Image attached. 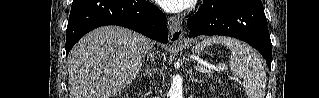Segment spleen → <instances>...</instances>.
<instances>
[{"instance_id": "spleen-1", "label": "spleen", "mask_w": 319, "mask_h": 98, "mask_svg": "<svg viewBox=\"0 0 319 98\" xmlns=\"http://www.w3.org/2000/svg\"><path fill=\"white\" fill-rule=\"evenodd\" d=\"M211 44H222L230 49L231 71L240 80L248 98H264L266 74L261 58L254 50L239 40L223 36L203 39L197 44L196 50H202Z\"/></svg>"}]
</instances>
